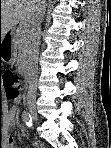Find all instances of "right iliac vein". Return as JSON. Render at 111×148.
I'll use <instances>...</instances> for the list:
<instances>
[{"instance_id":"1","label":"right iliac vein","mask_w":111,"mask_h":148,"mask_svg":"<svg viewBox=\"0 0 111 148\" xmlns=\"http://www.w3.org/2000/svg\"><path fill=\"white\" fill-rule=\"evenodd\" d=\"M28 110H29L31 116L33 117V119L37 122L38 121V115H37L35 106L30 105L28 107Z\"/></svg>"}]
</instances>
